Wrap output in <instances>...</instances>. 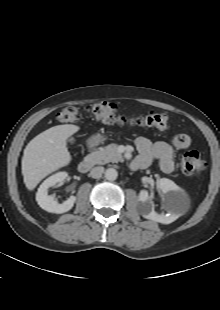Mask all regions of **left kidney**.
<instances>
[{"instance_id":"1","label":"left kidney","mask_w":220,"mask_h":310,"mask_svg":"<svg viewBox=\"0 0 220 310\" xmlns=\"http://www.w3.org/2000/svg\"><path fill=\"white\" fill-rule=\"evenodd\" d=\"M157 185L159 189L166 194L165 202L168 203L170 199L175 195H183L182 189L176 185L172 180L167 178H161L158 180ZM139 201L141 202L140 210L143 217L162 223L169 224L174 220V215L169 213V215L158 214L154 210V203L150 199L148 191L141 190L139 193Z\"/></svg>"}]
</instances>
